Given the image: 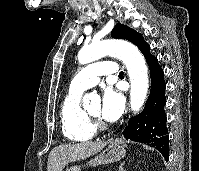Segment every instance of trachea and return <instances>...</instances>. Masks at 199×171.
Returning <instances> with one entry per match:
<instances>
[{"instance_id":"3493384b","label":"trachea","mask_w":199,"mask_h":171,"mask_svg":"<svg viewBox=\"0 0 199 171\" xmlns=\"http://www.w3.org/2000/svg\"><path fill=\"white\" fill-rule=\"evenodd\" d=\"M119 76H124L123 71H120V72H119Z\"/></svg>"}]
</instances>
